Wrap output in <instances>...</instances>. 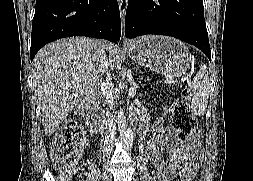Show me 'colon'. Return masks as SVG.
I'll list each match as a JSON object with an SVG mask.
<instances>
[{"label": "colon", "mask_w": 253, "mask_h": 181, "mask_svg": "<svg viewBox=\"0 0 253 181\" xmlns=\"http://www.w3.org/2000/svg\"><path fill=\"white\" fill-rule=\"evenodd\" d=\"M170 122L177 131L179 139L186 140L193 136L197 120L190 110V91L188 89H185L174 101ZM84 140L85 134L74 119L67 121L58 132L51 155L56 167L66 179L71 178L76 171ZM187 171L188 164L181 163L178 171L171 177V181H184Z\"/></svg>", "instance_id": "1"}]
</instances>
